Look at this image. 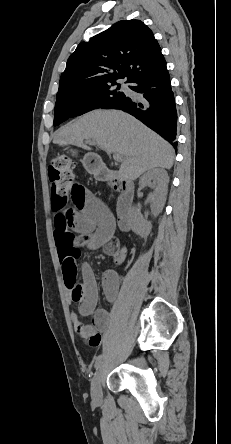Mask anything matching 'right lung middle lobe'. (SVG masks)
I'll list each match as a JSON object with an SVG mask.
<instances>
[{"mask_svg":"<svg viewBox=\"0 0 231 444\" xmlns=\"http://www.w3.org/2000/svg\"><path fill=\"white\" fill-rule=\"evenodd\" d=\"M115 85L116 83H113L58 94L55 103L54 126L93 109L110 108L126 98V95L119 91L120 85L117 88Z\"/></svg>","mask_w":231,"mask_h":444,"instance_id":"right-lung-middle-lobe-1","label":"right lung middle lobe"}]
</instances>
